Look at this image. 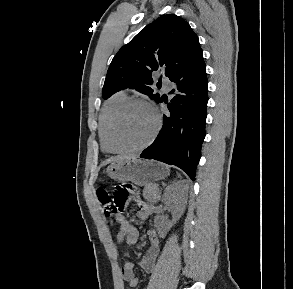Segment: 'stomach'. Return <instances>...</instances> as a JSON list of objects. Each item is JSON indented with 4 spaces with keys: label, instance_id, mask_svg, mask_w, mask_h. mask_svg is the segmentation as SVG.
Instances as JSON below:
<instances>
[{
    "label": "stomach",
    "instance_id": "stomach-1",
    "mask_svg": "<svg viewBox=\"0 0 293 289\" xmlns=\"http://www.w3.org/2000/svg\"><path fill=\"white\" fill-rule=\"evenodd\" d=\"M107 174L119 182L131 181L137 185H148L165 179L169 175V168L160 162L135 157L113 162L107 168Z\"/></svg>",
    "mask_w": 293,
    "mask_h": 289
}]
</instances>
